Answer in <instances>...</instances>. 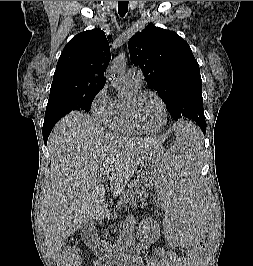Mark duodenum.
<instances>
[{"instance_id":"410a0bca","label":"duodenum","mask_w":253,"mask_h":266,"mask_svg":"<svg viewBox=\"0 0 253 266\" xmlns=\"http://www.w3.org/2000/svg\"><path fill=\"white\" fill-rule=\"evenodd\" d=\"M93 239V238H90ZM104 266H115L116 261L111 258H103Z\"/></svg>"}]
</instances>
